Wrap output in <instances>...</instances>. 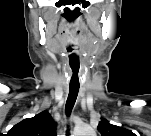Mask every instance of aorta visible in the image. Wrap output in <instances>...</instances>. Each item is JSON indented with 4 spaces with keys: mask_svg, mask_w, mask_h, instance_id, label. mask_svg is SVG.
<instances>
[{
    "mask_svg": "<svg viewBox=\"0 0 151 136\" xmlns=\"http://www.w3.org/2000/svg\"><path fill=\"white\" fill-rule=\"evenodd\" d=\"M91 135H93V136H94V135H95V133H93V132H92V133H91Z\"/></svg>",
    "mask_w": 151,
    "mask_h": 136,
    "instance_id": "1",
    "label": "aorta"
}]
</instances>
